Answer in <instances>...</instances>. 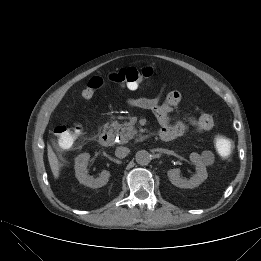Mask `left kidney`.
<instances>
[{
  "label": "left kidney",
  "instance_id": "left-kidney-1",
  "mask_svg": "<svg viewBox=\"0 0 261 261\" xmlns=\"http://www.w3.org/2000/svg\"><path fill=\"white\" fill-rule=\"evenodd\" d=\"M190 161L194 163L196 166V175H194L189 180L180 177V169L178 168L170 169L167 172L170 182L176 187L192 189L198 187L202 182H204L207 179L208 173L206 170V166L202 162L200 155L195 152L191 153Z\"/></svg>",
  "mask_w": 261,
  "mask_h": 261
}]
</instances>
